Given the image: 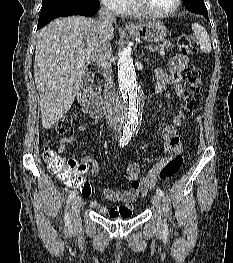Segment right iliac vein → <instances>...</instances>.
Here are the masks:
<instances>
[{
  "mask_svg": "<svg viewBox=\"0 0 233 263\" xmlns=\"http://www.w3.org/2000/svg\"><path fill=\"white\" fill-rule=\"evenodd\" d=\"M82 206L81 197L77 196L73 199L71 204V220L75 226L79 225L80 223V208Z\"/></svg>",
  "mask_w": 233,
  "mask_h": 263,
  "instance_id": "right-iliac-vein-1",
  "label": "right iliac vein"
}]
</instances>
